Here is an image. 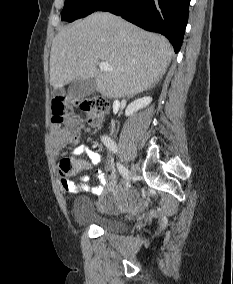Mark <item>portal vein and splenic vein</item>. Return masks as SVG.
<instances>
[{"label":"portal vein and splenic vein","mask_w":233,"mask_h":284,"mask_svg":"<svg viewBox=\"0 0 233 284\" xmlns=\"http://www.w3.org/2000/svg\"><path fill=\"white\" fill-rule=\"evenodd\" d=\"M99 68L101 71H112V67L107 63V62H100L99 63Z\"/></svg>","instance_id":"portal-vein-and-splenic-vein-1"}]
</instances>
